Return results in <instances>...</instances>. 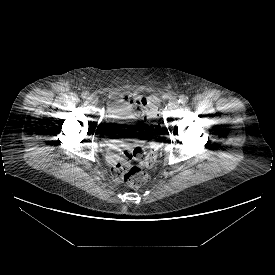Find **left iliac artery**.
I'll return each mask as SVG.
<instances>
[{"instance_id": "44dca946", "label": "left iliac artery", "mask_w": 275, "mask_h": 275, "mask_svg": "<svg viewBox=\"0 0 275 275\" xmlns=\"http://www.w3.org/2000/svg\"><path fill=\"white\" fill-rule=\"evenodd\" d=\"M187 102H188V97L187 96L181 95L179 97V103L186 104Z\"/></svg>"}]
</instances>
